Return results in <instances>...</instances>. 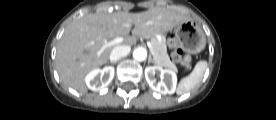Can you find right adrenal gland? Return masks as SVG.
I'll return each mask as SVG.
<instances>
[{"instance_id":"2a0ac1e0","label":"right adrenal gland","mask_w":276,"mask_h":120,"mask_svg":"<svg viewBox=\"0 0 276 120\" xmlns=\"http://www.w3.org/2000/svg\"><path fill=\"white\" fill-rule=\"evenodd\" d=\"M112 64H116L117 62H111Z\"/></svg>"}]
</instances>
